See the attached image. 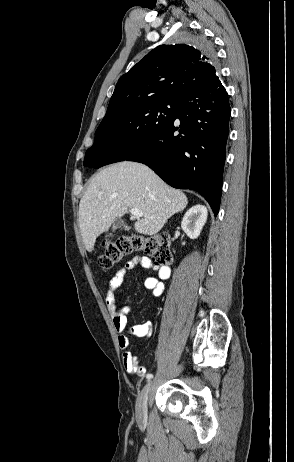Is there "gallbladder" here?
I'll use <instances>...</instances> for the list:
<instances>
[{
	"mask_svg": "<svg viewBox=\"0 0 294 462\" xmlns=\"http://www.w3.org/2000/svg\"><path fill=\"white\" fill-rule=\"evenodd\" d=\"M123 226H124V222L122 219L120 218L115 219V221L113 222V226H112V233ZM112 233H110L108 236H112Z\"/></svg>",
	"mask_w": 294,
	"mask_h": 462,
	"instance_id": "gallbladder-1",
	"label": "gallbladder"
}]
</instances>
